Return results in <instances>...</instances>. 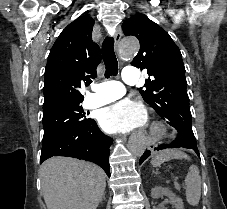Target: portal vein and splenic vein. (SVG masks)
Listing matches in <instances>:
<instances>
[{
	"label": "portal vein and splenic vein",
	"instance_id": "portal-vein-and-splenic-vein-1",
	"mask_svg": "<svg viewBox=\"0 0 227 209\" xmlns=\"http://www.w3.org/2000/svg\"><path fill=\"white\" fill-rule=\"evenodd\" d=\"M173 183L175 184V188H176L177 190H180L181 187H182L181 185L183 184V183L181 182V183H180L181 185H179V183H178L177 181H176V182L174 181Z\"/></svg>",
	"mask_w": 227,
	"mask_h": 209
}]
</instances>
